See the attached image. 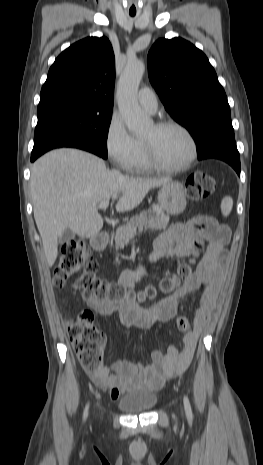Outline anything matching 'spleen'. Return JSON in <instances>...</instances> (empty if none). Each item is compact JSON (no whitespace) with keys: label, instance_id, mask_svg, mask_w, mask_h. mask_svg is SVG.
<instances>
[{"label":"spleen","instance_id":"3e777b00","mask_svg":"<svg viewBox=\"0 0 263 465\" xmlns=\"http://www.w3.org/2000/svg\"><path fill=\"white\" fill-rule=\"evenodd\" d=\"M233 207V200L231 197L226 196L221 202V211L224 216H228Z\"/></svg>","mask_w":263,"mask_h":465}]
</instances>
